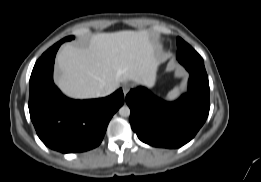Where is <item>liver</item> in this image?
Instances as JSON below:
<instances>
[{
  "label": "liver",
  "mask_w": 261,
  "mask_h": 182,
  "mask_svg": "<svg viewBox=\"0 0 261 182\" xmlns=\"http://www.w3.org/2000/svg\"><path fill=\"white\" fill-rule=\"evenodd\" d=\"M56 61L57 85L73 98L99 97L126 81L151 85L155 78V44L147 31L94 34L86 48L64 45Z\"/></svg>",
  "instance_id": "6515ba94"
}]
</instances>
